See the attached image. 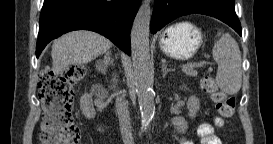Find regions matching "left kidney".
Returning a JSON list of instances; mask_svg holds the SVG:
<instances>
[{
    "mask_svg": "<svg viewBox=\"0 0 273 144\" xmlns=\"http://www.w3.org/2000/svg\"><path fill=\"white\" fill-rule=\"evenodd\" d=\"M189 110V117L195 118L198 110L200 109V101L196 96H191L187 102ZM172 124L179 133H185L188 128V123L183 117H175L172 119Z\"/></svg>",
    "mask_w": 273,
    "mask_h": 144,
    "instance_id": "left-kidney-1",
    "label": "left kidney"
}]
</instances>
